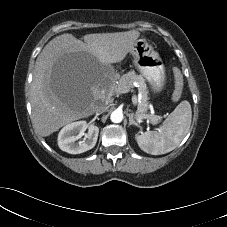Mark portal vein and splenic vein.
Listing matches in <instances>:
<instances>
[{
  "label": "portal vein and splenic vein",
  "mask_w": 227,
  "mask_h": 227,
  "mask_svg": "<svg viewBox=\"0 0 227 227\" xmlns=\"http://www.w3.org/2000/svg\"><path fill=\"white\" fill-rule=\"evenodd\" d=\"M117 91L119 92V93H128L129 91H132L130 88H127V87H118L117 88ZM132 103H133V105L134 106H136L137 105V103H138V98H137V96L136 95H133L132 96ZM142 119V117H140V120Z\"/></svg>",
  "instance_id": "obj_1"
}]
</instances>
